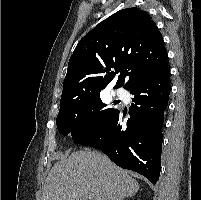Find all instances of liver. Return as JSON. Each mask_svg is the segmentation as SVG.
<instances>
[{"mask_svg": "<svg viewBox=\"0 0 201 200\" xmlns=\"http://www.w3.org/2000/svg\"><path fill=\"white\" fill-rule=\"evenodd\" d=\"M139 190L127 171L96 151L72 153L50 170L42 200H123Z\"/></svg>", "mask_w": 201, "mask_h": 200, "instance_id": "1", "label": "liver"}]
</instances>
